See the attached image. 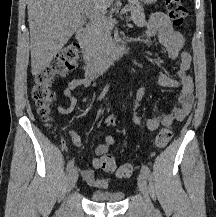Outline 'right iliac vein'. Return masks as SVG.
<instances>
[{
    "instance_id": "right-iliac-vein-1",
    "label": "right iliac vein",
    "mask_w": 216,
    "mask_h": 217,
    "mask_svg": "<svg viewBox=\"0 0 216 217\" xmlns=\"http://www.w3.org/2000/svg\"><path fill=\"white\" fill-rule=\"evenodd\" d=\"M78 179V170L77 168H73L70 170L68 175V191L72 190Z\"/></svg>"
}]
</instances>
